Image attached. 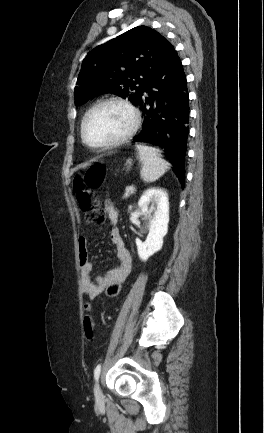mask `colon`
I'll use <instances>...</instances> for the list:
<instances>
[{
    "instance_id": "obj_1",
    "label": "colon",
    "mask_w": 264,
    "mask_h": 433,
    "mask_svg": "<svg viewBox=\"0 0 264 433\" xmlns=\"http://www.w3.org/2000/svg\"><path fill=\"white\" fill-rule=\"evenodd\" d=\"M106 169L102 164L90 166L81 177H77L74 183V191L80 209L84 212L85 222L88 225H98L104 222L105 213L101 209L100 199L90 191L100 187L105 179ZM122 285L114 282L106 287V296L116 297L120 294ZM90 303L85 304V309H90Z\"/></svg>"
}]
</instances>
